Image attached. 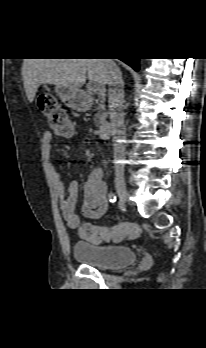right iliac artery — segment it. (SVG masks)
<instances>
[{
	"label": "right iliac artery",
	"instance_id": "82829eb1",
	"mask_svg": "<svg viewBox=\"0 0 206 348\" xmlns=\"http://www.w3.org/2000/svg\"><path fill=\"white\" fill-rule=\"evenodd\" d=\"M108 197L110 202H115L117 200L116 195L112 192L109 194Z\"/></svg>",
	"mask_w": 206,
	"mask_h": 348
}]
</instances>
